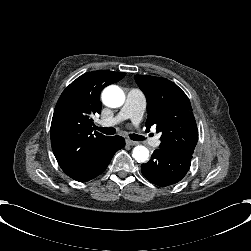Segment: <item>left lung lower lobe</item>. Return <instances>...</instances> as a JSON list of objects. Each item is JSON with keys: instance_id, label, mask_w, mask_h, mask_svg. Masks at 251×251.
Masks as SVG:
<instances>
[{"instance_id": "left-lung-lower-lobe-1", "label": "left lung lower lobe", "mask_w": 251, "mask_h": 251, "mask_svg": "<svg viewBox=\"0 0 251 251\" xmlns=\"http://www.w3.org/2000/svg\"><path fill=\"white\" fill-rule=\"evenodd\" d=\"M192 155L179 154L157 149L149 162L141 165V172L147 180L160 187L182 180L190 168Z\"/></svg>"}]
</instances>
